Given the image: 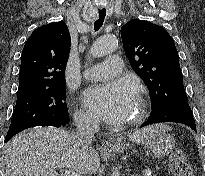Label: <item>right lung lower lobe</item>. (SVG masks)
<instances>
[{
    "label": "right lung lower lobe",
    "mask_w": 205,
    "mask_h": 176,
    "mask_svg": "<svg viewBox=\"0 0 205 176\" xmlns=\"http://www.w3.org/2000/svg\"><path fill=\"white\" fill-rule=\"evenodd\" d=\"M69 123V122H67ZM67 123H64V124H60V123H48V124H44L42 126H54V127H60V126H64L66 125ZM6 142V141H5Z\"/></svg>",
    "instance_id": "right-lung-lower-lobe-1"
}]
</instances>
